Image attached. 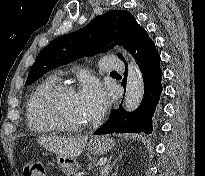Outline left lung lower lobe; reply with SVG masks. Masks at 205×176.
<instances>
[{
    "mask_svg": "<svg viewBox=\"0 0 205 176\" xmlns=\"http://www.w3.org/2000/svg\"><path fill=\"white\" fill-rule=\"evenodd\" d=\"M137 61L144 82V97L140 106L126 112L120 104L112 110L109 120L103 124L94 134L116 133H152V116L155 113L162 92V71L160 69V55L155 44L143 27H139L133 34L126 48ZM124 62L123 57L120 58ZM127 66V64H126ZM126 78L122 85H126Z\"/></svg>",
    "mask_w": 205,
    "mask_h": 176,
    "instance_id": "obj_1",
    "label": "left lung lower lobe"
}]
</instances>
